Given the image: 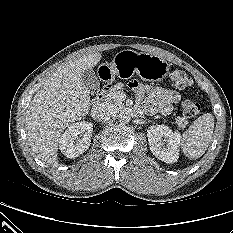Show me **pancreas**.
I'll use <instances>...</instances> for the list:
<instances>
[{"label": "pancreas", "mask_w": 233, "mask_h": 233, "mask_svg": "<svg viewBox=\"0 0 233 233\" xmlns=\"http://www.w3.org/2000/svg\"><path fill=\"white\" fill-rule=\"evenodd\" d=\"M123 92V84L118 83L110 89L105 95L106 103L111 107H119L123 104V100L120 98V94ZM176 123L180 128H185L188 124V120L184 117H176Z\"/></svg>", "instance_id": "1"}]
</instances>
